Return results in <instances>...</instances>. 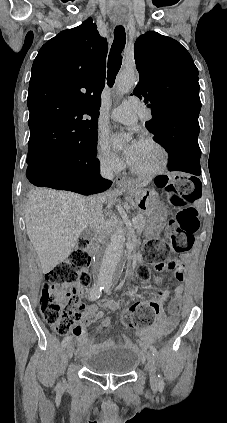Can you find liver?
Segmentation results:
<instances>
[{
  "label": "liver",
  "mask_w": 227,
  "mask_h": 423,
  "mask_svg": "<svg viewBox=\"0 0 227 423\" xmlns=\"http://www.w3.org/2000/svg\"><path fill=\"white\" fill-rule=\"evenodd\" d=\"M147 186L148 182H134ZM118 192H104L99 196H79L72 192H55L50 188H34L24 204L28 237L40 259L43 273L54 269L73 251L79 235L90 223V208L86 204L100 202L98 223H104L102 204H112Z\"/></svg>",
  "instance_id": "obj_1"
}]
</instances>
